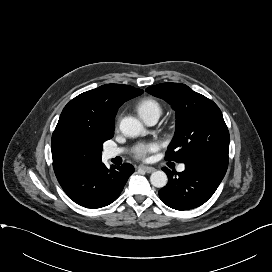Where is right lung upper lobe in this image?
Wrapping results in <instances>:
<instances>
[{
    "instance_id": "1",
    "label": "right lung upper lobe",
    "mask_w": 272,
    "mask_h": 272,
    "mask_svg": "<svg viewBox=\"0 0 272 272\" xmlns=\"http://www.w3.org/2000/svg\"><path fill=\"white\" fill-rule=\"evenodd\" d=\"M142 93L129 85L106 84L78 95L64 107L51 140L59 183L101 160L95 143L114 135L118 108Z\"/></svg>"
}]
</instances>
